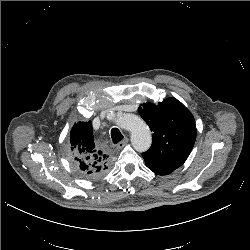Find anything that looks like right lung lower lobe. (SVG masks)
<instances>
[{
  "mask_svg": "<svg viewBox=\"0 0 250 250\" xmlns=\"http://www.w3.org/2000/svg\"><path fill=\"white\" fill-rule=\"evenodd\" d=\"M74 168L84 179L88 180H96L102 178L108 171V167H104L101 169H88L83 170L77 164L73 163Z\"/></svg>",
  "mask_w": 250,
  "mask_h": 250,
  "instance_id": "right-lung-lower-lobe-1",
  "label": "right lung lower lobe"
}]
</instances>
